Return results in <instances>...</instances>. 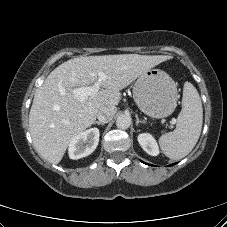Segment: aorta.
Returning a JSON list of instances; mask_svg holds the SVG:
<instances>
[{"mask_svg":"<svg viewBox=\"0 0 227 227\" xmlns=\"http://www.w3.org/2000/svg\"><path fill=\"white\" fill-rule=\"evenodd\" d=\"M131 119L127 115H120L116 119V125L120 129H127L130 127Z\"/></svg>","mask_w":227,"mask_h":227,"instance_id":"762f6f07","label":"aorta"}]
</instances>
